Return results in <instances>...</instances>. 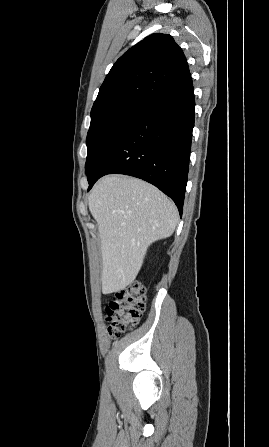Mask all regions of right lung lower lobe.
Masks as SVG:
<instances>
[{"instance_id":"right-lung-lower-lobe-1","label":"right lung lower lobe","mask_w":269,"mask_h":447,"mask_svg":"<svg viewBox=\"0 0 269 447\" xmlns=\"http://www.w3.org/2000/svg\"><path fill=\"white\" fill-rule=\"evenodd\" d=\"M190 73L142 105L121 126L87 174L89 188L111 173L143 179L168 195L182 215L194 127Z\"/></svg>"}]
</instances>
